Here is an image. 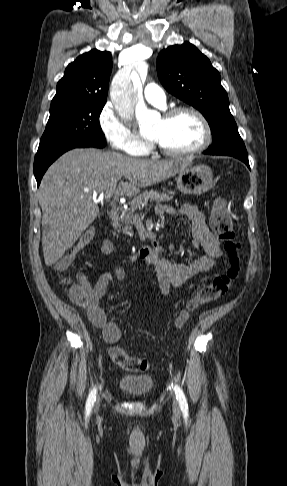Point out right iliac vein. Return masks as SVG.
Here are the masks:
<instances>
[{
  "instance_id": "right-iliac-vein-1",
  "label": "right iliac vein",
  "mask_w": 287,
  "mask_h": 486,
  "mask_svg": "<svg viewBox=\"0 0 287 486\" xmlns=\"http://www.w3.org/2000/svg\"><path fill=\"white\" fill-rule=\"evenodd\" d=\"M99 402L96 403V407H98Z\"/></svg>"
}]
</instances>
